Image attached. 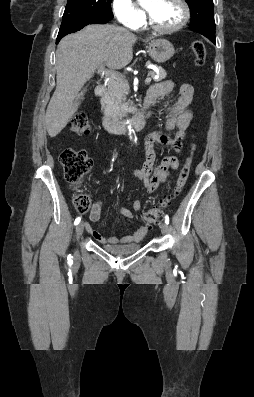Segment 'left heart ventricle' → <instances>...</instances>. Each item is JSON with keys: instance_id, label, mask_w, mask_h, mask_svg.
Segmentation results:
<instances>
[{"instance_id": "1", "label": "left heart ventricle", "mask_w": 254, "mask_h": 397, "mask_svg": "<svg viewBox=\"0 0 254 397\" xmlns=\"http://www.w3.org/2000/svg\"><path fill=\"white\" fill-rule=\"evenodd\" d=\"M146 9L160 27H172L182 17V8L175 0H150Z\"/></svg>"}]
</instances>
